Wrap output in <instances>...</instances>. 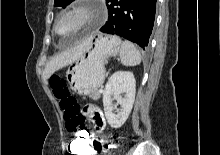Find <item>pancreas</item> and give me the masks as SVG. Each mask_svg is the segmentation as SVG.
<instances>
[{"label":"pancreas","mask_w":220,"mask_h":155,"mask_svg":"<svg viewBox=\"0 0 220 155\" xmlns=\"http://www.w3.org/2000/svg\"><path fill=\"white\" fill-rule=\"evenodd\" d=\"M100 96H101V93L100 92H96V93H94L91 96V99L96 101V100H98L100 98Z\"/></svg>","instance_id":"cf45deb5"}]
</instances>
